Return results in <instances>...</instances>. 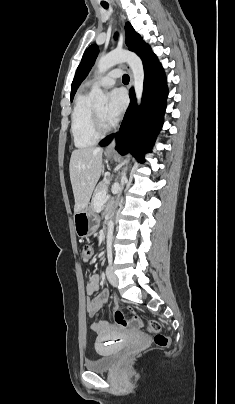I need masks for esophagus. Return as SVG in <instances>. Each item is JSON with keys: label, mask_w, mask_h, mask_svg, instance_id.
<instances>
[{"label": "esophagus", "mask_w": 235, "mask_h": 404, "mask_svg": "<svg viewBox=\"0 0 235 404\" xmlns=\"http://www.w3.org/2000/svg\"><path fill=\"white\" fill-rule=\"evenodd\" d=\"M120 21L124 23V17L120 15ZM132 85V80H130V86ZM116 142L115 139L107 146L105 150V154H114L115 153Z\"/></svg>", "instance_id": "34e87169"}]
</instances>
